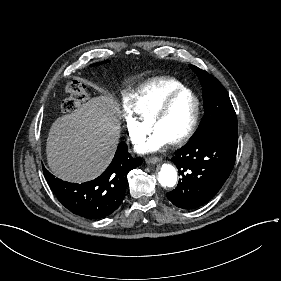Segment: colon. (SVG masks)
<instances>
[{
  "instance_id": "obj_1",
  "label": "colon",
  "mask_w": 281,
  "mask_h": 281,
  "mask_svg": "<svg viewBox=\"0 0 281 281\" xmlns=\"http://www.w3.org/2000/svg\"><path fill=\"white\" fill-rule=\"evenodd\" d=\"M65 93L66 98L61 106L64 114L74 113L88 101V92L81 82L72 81L68 83Z\"/></svg>"
}]
</instances>
